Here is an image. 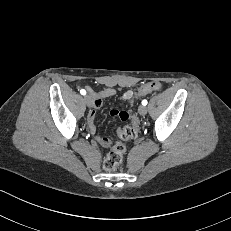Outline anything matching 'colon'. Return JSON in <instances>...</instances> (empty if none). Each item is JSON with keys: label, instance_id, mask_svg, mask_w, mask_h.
<instances>
[{"label": "colon", "instance_id": "5ec220e1", "mask_svg": "<svg viewBox=\"0 0 231 231\" xmlns=\"http://www.w3.org/2000/svg\"><path fill=\"white\" fill-rule=\"evenodd\" d=\"M161 84L157 81L146 83L139 87L132 97V103L138 98L157 91ZM122 121H129V124L118 130L119 140L112 143L109 153L103 160V169L105 171H113L122 161L125 145L122 141L131 140L138 136L140 131V120L136 113L131 111H122L119 115Z\"/></svg>", "mask_w": 231, "mask_h": 231}]
</instances>
